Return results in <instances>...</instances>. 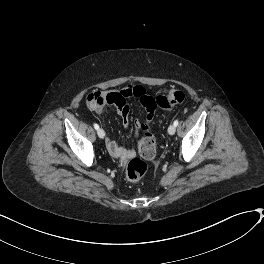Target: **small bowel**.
Here are the masks:
<instances>
[{
  "mask_svg": "<svg viewBox=\"0 0 264 264\" xmlns=\"http://www.w3.org/2000/svg\"><path fill=\"white\" fill-rule=\"evenodd\" d=\"M146 90L140 85H126L121 89H109L105 91H98L90 94L86 103L87 106L92 108L98 117H101L107 108L114 106L117 109V113L122 118V124L125 129L129 127V106L126 103V99L130 97H137L138 95H145ZM149 114L147 121L152 119L155 112L154 110H148ZM136 123L138 120L135 121ZM106 148L108 152L115 158L126 159L134 155L133 150H127L123 148L116 140L106 135Z\"/></svg>",
  "mask_w": 264,
  "mask_h": 264,
  "instance_id": "1",
  "label": "small bowel"
}]
</instances>
